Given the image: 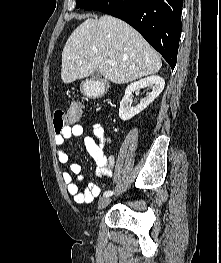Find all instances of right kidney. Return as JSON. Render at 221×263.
<instances>
[{
    "instance_id": "ca27d5eb",
    "label": "right kidney",
    "mask_w": 221,
    "mask_h": 263,
    "mask_svg": "<svg viewBox=\"0 0 221 263\" xmlns=\"http://www.w3.org/2000/svg\"><path fill=\"white\" fill-rule=\"evenodd\" d=\"M164 85V79L156 75L141 79L135 83L130 84L126 88L125 95L120 102L119 117L123 121H126L134 117L136 114L140 113L160 95V93L164 89ZM145 86H148L150 89H152V91L147 93L146 97H144L136 107H131L130 101L132 98V92L140 90Z\"/></svg>"
}]
</instances>
